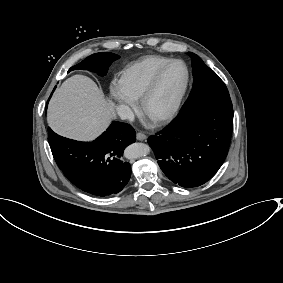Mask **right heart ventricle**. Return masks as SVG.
Here are the masks:
<instances>
[{
  "label": "right heart ventricle",
  "instance_id": "obj_1",
  "mask_svg": "<svg viewBox=\"0 0 283 283\" xmlns=\"http://www.w3.org/2000/svg\"><path fill=\"white\" fill-rule=\"evenodd\" d=\"M172 59L151 55L129 65L120 73V82L130 98L139 100L153 73Z\"/></svg>",
  "mask_w": 283,
  "mask_h": 283
}]
</instances>
